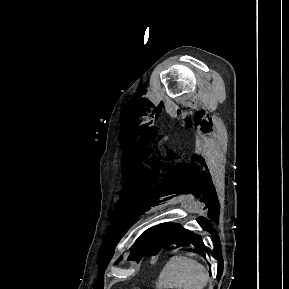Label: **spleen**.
<instances>
[{"instance_id": "obj_1", "label": "spleen", "mask_w": 289, "mask_h": 289, "mask_svg": "<svg viewBox=\"0 0 289 289\" xmlns=\"http://www.w3.org/2000/svg\"><path fill=\"white\" fill-rule=\"evenodd\" d=\"M209 273L198 261L186 256H173L160 272L157 289H204Z\"/></svg>"}]
</instances>
